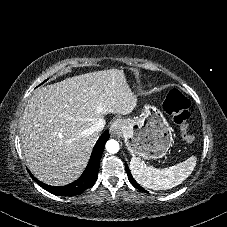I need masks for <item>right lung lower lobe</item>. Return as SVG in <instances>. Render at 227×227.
Returning a JSON list of instances; mask_svg holds the SVG:
<instances>
[{
	"label": "right lung lower lobe",
	"mask_w": 227,
	"mask_h": 227,
	"mask_svg": "<svg viewBox=\"0 0 227 227\" xmlns=\"http://www.w3.org/2000/svg\"><path fill=\"white\" fill-rule=\"evenodd\" d=\"M109 139V132L105 131L100 138L98 139L90 158V161L80 176V178L73 183H70L66 186L55 187L44 184L38 181L30 172L29 174L40 185L43 189L47 190L48 192L61 195V196H74L77 194L82 193L84 190L91 188L96 181L99 171L100 159L103 153V149L105 146L106 141Z\"/></svg>",
	"instance_id": "obj_1"
}]
</instances>
